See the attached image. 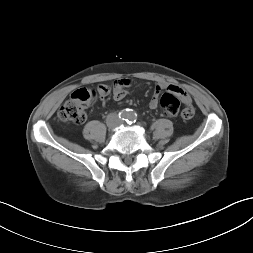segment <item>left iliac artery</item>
Here are the masks:
<instances>
[{
  "label": "left iliac artery",
  "mask_w": 253,
  "mask_h": 253,
  "mask_svg": "<svg viewBox=\"0 0 253 253\" xmlns=\"http://www.w3.org/2000/svg\"><path fill=\"white\" fill-rule=\"evenodd\" d=\"M137 120V114L136 113H130L127 122L129 124L135 123Z\"/></svg>",
  "instance_id": "44dca946"
}]
</instances>
